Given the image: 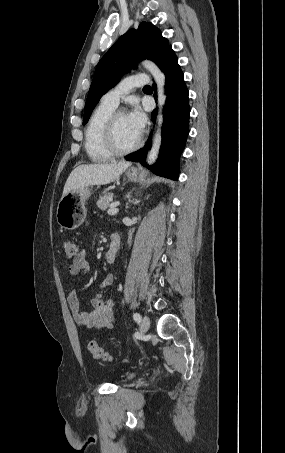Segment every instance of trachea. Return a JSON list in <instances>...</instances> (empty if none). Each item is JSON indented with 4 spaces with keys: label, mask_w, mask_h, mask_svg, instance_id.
I'll use <instances>...</instances> for the list:
<instances>
[{
    "label": "trachea",
    "mask_w": 285,
    "mask_h": 453,
    "mask_svg": "<svg viewBox=\"0 0 285 453\" xmlns=\"http://www.w3.org/2000/svg\"><path fill=\"white\" fill-rule=\"evenodd\" d=\"M144 88H150V86H149V85H146Z\"/></svg>",
    "instance_id": "3493384b"
}]
</instances>
